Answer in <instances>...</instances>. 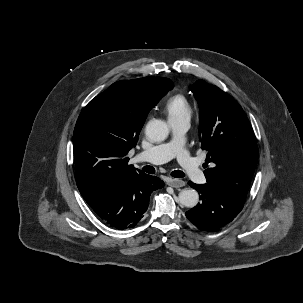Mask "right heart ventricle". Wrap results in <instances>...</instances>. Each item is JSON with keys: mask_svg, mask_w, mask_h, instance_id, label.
<instances>
[{"mask_svg": "<svg viewBox=\"0 0 303 303\" xmlns=\"http://www.w3.org/2000/svg\"><path fill=\"white\" fill-rule=\"evenodd\" d=\"M164 111L170 123L190 119L192 108L189 100L182 94L171 96L164 105Z\"/></svg>", "mask_w": 303, "mask_h": 303, "instance_id": "right-heart-ventricle-1", "label": "right heart ventricle"}]
</instances>
